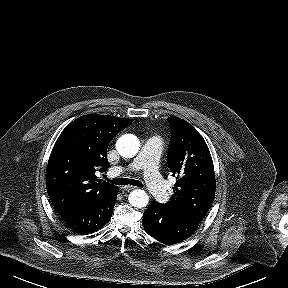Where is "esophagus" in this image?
<instances>
[{"instance_id": "obj_1", "label": "esophagus", "mask_w": 288, "mask_h": 288, "mask_svg": "<svg viewBox=\"0 0 288 288\" xmlns=\"http://www.w3.org/2000/svg\"><path fill=\"white\" fill-rule=\"evenodd\" d=\"M136 188H137V187H135V186H130V185L123 187V189H124L125 191H131V190H134V189H136Z\"/></svg>"}]
</instances>
